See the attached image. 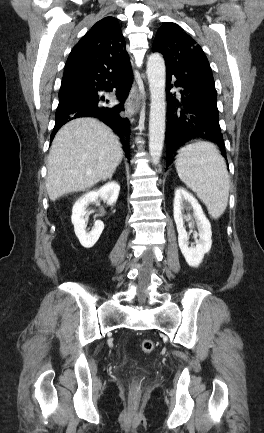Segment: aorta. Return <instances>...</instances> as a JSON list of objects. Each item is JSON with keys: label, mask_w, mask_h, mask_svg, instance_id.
<instances>
[{"label": "aorta", "mask_w": 264, "mask_h": 433, "mask_svg": "<svg viewBox=\"0 0 264 433\" xmlns=\"http://www.w3.org/2000/svg\"><path fill=\"white\" fill-rule=\"evenodd\" d=\"M146 73L151 94L149 116V153L152 163L157 165L162 156L165 138L166 69L162 55L159 53H153L149 56Z\"/></svg>", "instance_id": "1"}]
</instances>
